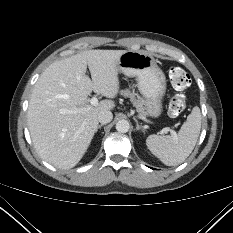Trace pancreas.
<instances>
[{
  "label": "pancreas",
  "mask_w": 233,
  "mask_h": 233,
  "mask_svg": "<svg viewBox=\"0 0 233 233\" xmlns=\"http://www.w3.org/2000/svg\"><path fill=\"white\" fill-rule=\"evenodd\" d=\"M121 95L124 97H129L131 102L135 106L137 112L139 113L140 117H146L147 111L145 107V100L141 98L138 94L131 92L129 89H125L121 91Z\"/></svg>",
  "instance_id": "1"
}]
</instances>
